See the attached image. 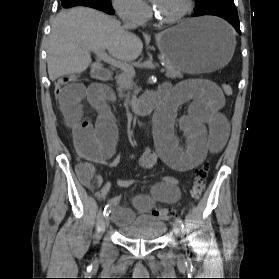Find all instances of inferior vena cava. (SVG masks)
Here are the masks:
<instances>
[{"instance_id": "602c4592", "label": "inferior vena cava", "mask_w": 279, "mask_h": 279, "mask_svg": "<svg viewBox=\"0 0 279 279\" xmlns=\"http://www.w3.org/2000/svg\"><path fill=\"white\" fill-rule=\"evenodd\" d=\"M123 28H124L125 30L133 29V28H135V25L132 24V23H129V22H125L124 25H123Z\"/></svg>"}]
</instances>
